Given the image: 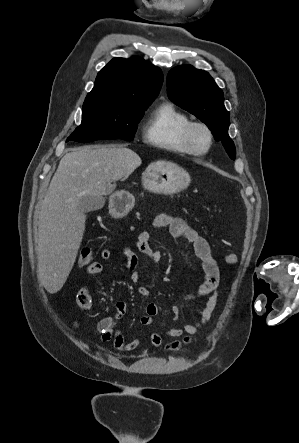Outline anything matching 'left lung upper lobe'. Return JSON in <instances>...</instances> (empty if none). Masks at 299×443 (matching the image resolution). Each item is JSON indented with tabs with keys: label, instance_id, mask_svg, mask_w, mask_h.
Here are the masks:
<instances>
[{
	"label": "left lung upper lobe",
	"instance_id": "left-lung-upper-lobe-1",
	"mask_svg": "<svg viewBox=\"0 0 299 443\" xmlns=\"http://www.w3.org/2000/svg\"><path fill=\"white\" fill-rule=\"evenodd\" d=\"M169 99L195 115L211 130L231 159H235V145L228 135L229 112L224 106L222 90L204 70L191 65L171 69L167 76Z\"/></svg>",
	"mask_w": 299,
	"mask_h": 443
}]
</instances>
